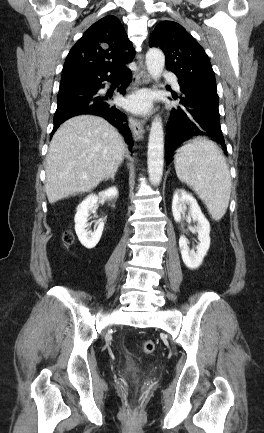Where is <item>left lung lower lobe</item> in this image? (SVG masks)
I'll return each instance as SVG.
<instances>
[{"label": "left lung lower lobe", "mask_w": 264, "mask_h": 433, "mask_svg": "<svg viewBox=\"0 0 264 433\" xmlns=\"http://www.w3.org/2000/svg\"><path fill=\"white\" fill-rule=\"evenodd\" d=\"M180 86L181 94L173 93V99L179 101V106L172 109L166 132V163L170 162L173 151L181 143L195 136L218 142L226 153L217 90L206 86Z\"/></svg>", "instance_id": "left-lung-lower-lobe-1"}]
</instances>
